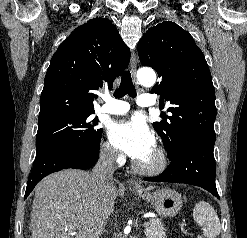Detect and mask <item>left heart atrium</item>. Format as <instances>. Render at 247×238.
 Wrapping results in <instances>:
<instances>
[{
	"label": "left heart atrium",
	"instance_id": "obj_1",
	"mask_svg": "<svg viewBox=\"0 0 247 238\" xmlns=\"http://www.w3.org/2000/svg\"><path fill=\"white\" fill-rule=\"evenodd\" d=\"M109 139L117 149L136 160L151 153L155 146L153 133L139 118L113 123L109 129Z\"/></svg>",
	"mask_w": 247,
	"mask_h": 238
}]
</instances>
